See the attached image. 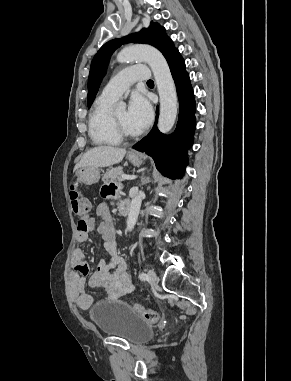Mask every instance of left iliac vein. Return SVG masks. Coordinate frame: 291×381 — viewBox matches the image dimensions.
Here are the masks:
<instances>
[{"mask_svg": "<svg viewBox=\"0 0 291 381\" xmlns=\"http://www.w3.org/2000/svg\"><path fill=\"white\" fill-rule=\"evenodd\" d=\"M147 279L152 284L156 283L157 276H156V273L154 272V270H152V269L148 270V272H147Z\"/></svg>", "mask_w": 291, "mask_h": 381, "instance_id": "left-iliac-vein-1", "label": "left iliac vein"}]
</instances>
